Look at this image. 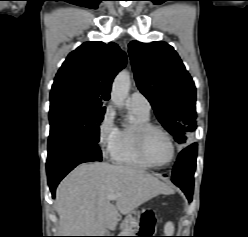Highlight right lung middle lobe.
I'll list each match as a JSON object with an SVG mask.
<instances>
[{
  "label": "right lung middle lobe",
  "instance_id": "dd1d6c3e",
  "mask_svg": "<svg viewBox=\"0 0 248 237\" xmlns=\"http://www.w3.org/2000/svg\"><path fill=\"white\" fill-rule=\"evenodd\" d=\"M105 109L75 100L51 102L49 111L50 136L73 140L99 141V125Z\"/></svg>",
  "mask_w": 248,
  "mask_h": 237
}]
</instances>
